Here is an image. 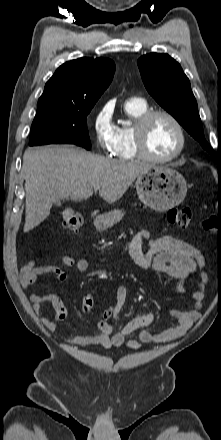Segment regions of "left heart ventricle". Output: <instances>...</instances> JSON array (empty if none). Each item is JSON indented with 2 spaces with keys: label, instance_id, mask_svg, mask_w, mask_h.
<instances>
[{
  "label": "left heart ventricle",
  "instance_id": "left-heart-ventricle-1",
  "mask_svg": "<svg viewBox=\"0 0 221 440\" xmlns=\"http://www.w3.org/2000/svg\"><path fill=\"white\" fill-rule=\"evenodd\" d=\"M146 144L154 156L167 157L178 147V132L169 119L158 116L147 127Z\"/></svg>",
  "mask_w": 221,
  "mask_h": 440
}]
</instances>
